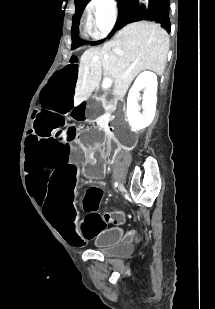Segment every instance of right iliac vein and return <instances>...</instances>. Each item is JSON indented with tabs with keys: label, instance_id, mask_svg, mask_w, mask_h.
Listing matches in <instances>:
<instances>
[{
	"label": "right iliac vein",
	"instance_id": "63e3f726",
	"mask_svg": "<svg viewBox=\"0 0 215 309\" xmlns=\"http://www.w3.org/2000/svg\"><path fill=\"white\" fill-rule=\"evenodd\" d=\"M119 190L122 192V191H124V186H123V184H120L119 185Z\"/></svg>",
	"mask_w": 215,
	"mask_h": 309
}]
</instances>
